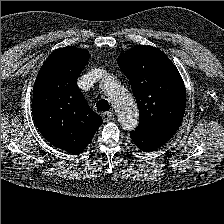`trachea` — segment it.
Listing matches in <instances>:
<instances>
[{"label": "trachea", "mask_w": 224, "mask_h": 224, "mask_svg": "<svg viewBox=\"0 0 224 224\" xmlns=\"http://www.w3.org/2000/svg\"><path fill=\"white\" fill-rule=\"evenodd\" d=\"M96 107L99 111H108L109 110L108 101L105 99H102L96 104Z\"/></svg>", "instance_id": "trachea-1"}]
</instances>
